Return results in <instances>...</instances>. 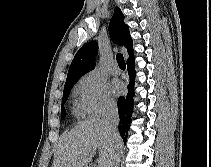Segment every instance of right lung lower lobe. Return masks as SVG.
<instances>
[{"mask_svg": "<svg viewBox=\"0 0 211 167\" xmlns=\"http://www.w3.org/2000/svg\"><path fill=\"white\" fill-rule=\"evenodd\" d=\"M135 62L134 58L129 60L127 62V69H128V74L130 78V82L128 85V94L126 97H120L118 99V113L120 117V123H119V132L120 135L126 143L127 140V132L129 130V123L131 121L130 116L132 115V96L134 95V81H135Z\"/></svg>", "mask_w": 211, "mask_h": 167, "instance_id": "right-lung-lower-lobe-1", "label": "right lung lower lobe"}]
</instances>
